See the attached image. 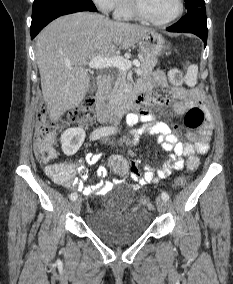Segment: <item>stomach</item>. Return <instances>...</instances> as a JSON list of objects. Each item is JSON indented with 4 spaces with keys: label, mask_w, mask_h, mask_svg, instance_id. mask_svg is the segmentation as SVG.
Segmentation results:
<instances>
[{
    "label": "stomach",
    "mask_w": 233,
    "mask_h": 284,
    "mask_svg": "<svg viewBox=\"0 0 233 284\" xmlns=\"http://www.w3.org/2000/svg\"><path fill=\"white\" fill-rule=\"evenodd\" d=\"M139 47L144 56L156 60L165 50L166 41L161 34L152 31L141 37L139 40Z\"/></svg>",
    "instance_id": "obj_1"
}]
</instances>
